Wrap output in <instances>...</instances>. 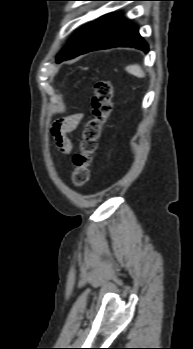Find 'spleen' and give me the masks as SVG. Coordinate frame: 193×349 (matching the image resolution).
<instances>
[{"label":"spleen","mask_w":193,"mask_h":349,"mask_svg":"<svg viewBox=\"0 0 193 349\" xmlns=\"http://www.w3.org/2000/svg\"><path fill=\"white\" fill-rule=\"evenodd\" d=\"M126 71L136 77H144L145 73L139 65H130L126 67Z\"/></svg>","instance_id":"spleen-1"}]
</instances>
